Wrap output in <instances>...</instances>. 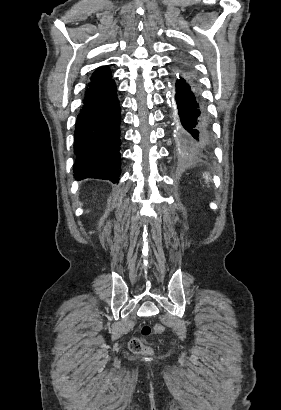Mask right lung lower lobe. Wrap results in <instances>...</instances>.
<instances>
[{
  "mask_svg": "<svg viewBox=\"0 0 281 410\" xmlns=\"http://www.w3.org/2000/svg\"><path fill=\"white\" fill-rule=\"evenodd\" d=\"M74 139V178H98L118 183L120 106L114 80L86 91Z\"/></svg>",
  "mask_w": 281,
  "mask_h": 410,
  "instance_id": "98d812e1",
  "label": "right lung lower lobe"
}]
</instances>
